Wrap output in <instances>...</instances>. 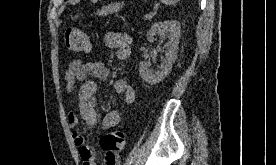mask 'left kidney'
Segmentation results:
<instances>
[{"label":"left kidney","mask_w":276,"mask_h":165,"mask_svg":"<svg viewBox=\"0 0 276 165\" xmlns=\"http://www.w3.org/2000/svg\"><path fill=\"white\" fill-rule=\"evenodd\" d=\"M168 34L169 41L165 44L167 51L165 58L158 70L150 67L147 61L140 62L139 73L142 79L151 84H157L162 81L171 71L172 65L177 58L178 44L180 38V23L176 20H168L153 24L147 33L148 41H152L156 34Z\"/></svg>","instance_id":"left-kidney-1"}]
</instances>
